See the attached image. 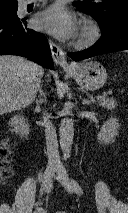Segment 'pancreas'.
Listing matches in <instances>:
<instances>
[{
    "label": "pancreas",
    "mask_w": 128,
    "mask_h": 213,
    "mask_svg": "<svg viewBox=\"0 0 128 213\" xmlns=\"http://www.w3.org/2000/svg\"><path fill=\"white\" fill-rule=\"evenodd\" d=\"M98 104L106 109H114L117 102L113 98L98 97Z\"/></svg>",
    "instance_id": "pancreas-1"
}]
</instances>
